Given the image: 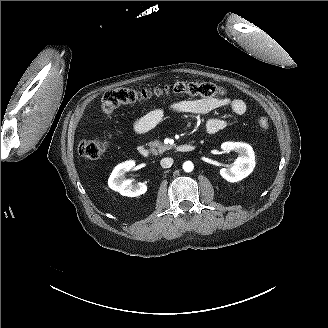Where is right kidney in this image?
<instances>
[{
    "label": "right kidney",
    "instance_id": "obj_1",
    "mask_svg": "<svg viewBox=\"0 0 328 328\" xmlns=\"http://www.w3.org/2000/svg\"><path fill=\"white\" fill-rule=\"evenodd\" d=\"M136 168L135 160H127L118 164L112 171L108 180L109 187L119 192L123 196L138 197L146 193L148 187L144 183L132 185L130 180H125L124 176L126 172L134 170Z\"/></svg>",
    "mask_w": 328,
    "mask_h": 328
}]
</instances>
